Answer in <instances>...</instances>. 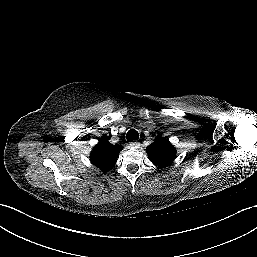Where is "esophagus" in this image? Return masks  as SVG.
I'll use <instances>...</instances> for the list:
<instances>
[{"label":"esophagus","instance_id":"obj_1","mask_svg":"<svg viewBox=\"0 0 257 257\" xmlns=\"http://www.w3.org/2000/svg\"><path fill=\"white\" fill-rule=\"evenodd\" d=\"M129 146L132 148V149H138L140 147V143L139 142H131L129 144Z\"/></svg>","mask_w":257,"mask_h":257}]
</instances>
